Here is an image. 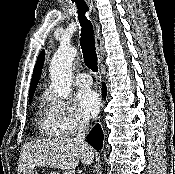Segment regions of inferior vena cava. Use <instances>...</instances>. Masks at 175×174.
Returning a JSON list of instances; mask_svg holds the SVG:
<instances>
[{"mask_svg":"<svg viewBox=\"0 0 175 174\" xmlns=\"http://www.w3.org/2000/svg\"><path fill=\"white\" fill-rule=\"evenodd\" d=\"M87 130H88V123L86 121H83V120L79 121L78 122V134L74 138V141L76 143H79V144L86 146V144L84 143V140H85V134H86Z\"/></svg>","mask_w":175,"mask_h":174,"instance_id":"602c4592","label":"inferior vena cava"}]
</instances>
